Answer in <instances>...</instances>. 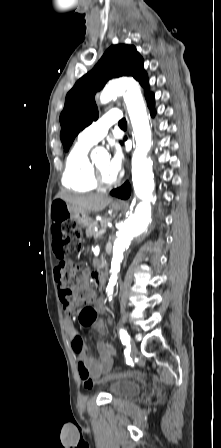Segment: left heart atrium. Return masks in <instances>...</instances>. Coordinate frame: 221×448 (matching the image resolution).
I'll list each match as a JSON object with an SVG mask.
<instances>
[{"instance_id": "39dd6f15", "label": "left heart atrium", "mask_w": 221, "mask_h": 448, "mask_svg": "<svg viewBox=\"0 0 221 448\" xmlns=\"http://www.w3.org/2000/svg\"><path fill=\"white\" fill-rule=\"evenodd\" d=\"M123 161L124 157L121 150L117 147L114 148L107 165V172L111 177H113V179L119 175L123 167Z\"/></svg>"}]
</instances>
